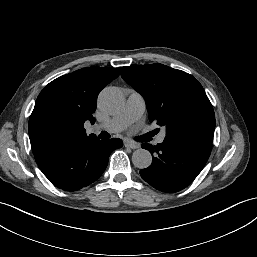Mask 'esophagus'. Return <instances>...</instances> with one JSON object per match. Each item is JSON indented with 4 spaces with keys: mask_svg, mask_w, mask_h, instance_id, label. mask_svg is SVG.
<instances>
[{
    "mask_svg": "<svg viewBox=\"0 0 257 257\" xmlns=\"http://www.w3.org/2000/svg\"><path fill=\"white\" fill-rule=\"evenodd\" d=\"M125 147L131 148V149H137L140 147L138 143H134L132 141H125L124 142Z\"/></svg>",
    "mask_w": 257,
    "mask_h": 257,
    "instance_id": "esophagus-1",
    "label": "esophagus"
}]
</instances>
